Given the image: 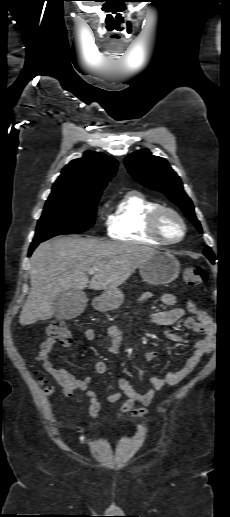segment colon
<instances>
[{"label": "colon", "instance_id": "colon-1", "mask_svg": "<svg viewBox=\"0 0 230 517\" xmlns=\"http://www.w3.org/2000/svg\"><path fill=\"white\" fill-rule=\"evenodd\" d=\"M183 279L187 285L196 286L204 283L207 280V273L200 266H190L184 269ZM45 331L50 338H54L62 342L70 341V331L67 325L62 321L51 322L47 325ZM40 382L46 391H50L51 388L44 379L41 378Z\"/></svg>", "mask_w": 230, "mask_h": 517}]
</instances>
